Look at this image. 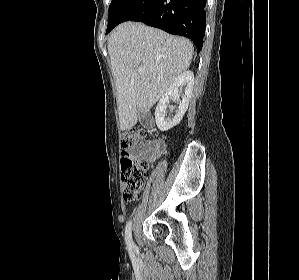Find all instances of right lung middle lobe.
Returning a JSON list of instances; mask_svg holds the SVG:
<instances>
[{
  "label": "right lung middle lobe",
  "instance_id": "obj_1",
  "mask_svg": "<svg viewBox=\"0 0 299 280\" xmlns=\"http://www.w3.org/2000/svg\"><path fill=\"white\" fill-rule=\"evenodd\" d=\"M128 0H112L109 6L108 26L106 34L111 30L114 20Z\"/></svg>",
  "mask_w": 299,
  "mask_h": 280
}]
</instances>
